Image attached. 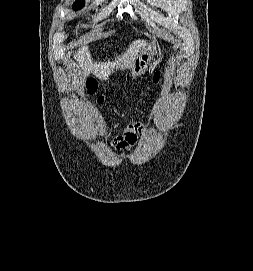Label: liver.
<instances>
[{"label":"liver","instance_id":"6515ba94","mask_svg":"<svg viewBox=\"0 0 253 271\" xmlns=\"http://www.w3.org/2000/svg\"><path fill=\"white\" fill-rule=\"evenodd\" d=\"M148 48H151L150 46ZM146 49V41L134 40L121 56H117L115 61L95 62L91 60V55L88 46L83 45L74 56L76 61L71 64L74 70V88L81 89L85 83L89 73L92 72L100 80H108L114 69H129L131 68L136 56Z\"/></svg>","mask_w":253,"mask_h":271}]
</instances>
